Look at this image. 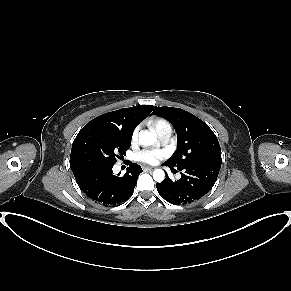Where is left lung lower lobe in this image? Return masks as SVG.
Here are the masks:
<instances>
[{
    "mask_svg": "<svg viewBox=\"0 0 291 291\" xmlns=\"http://www.w3.org/2000/svg\"><path fill=\"white\" fill-rule=\"evenodd\" d=\"M167 165L166 163H164ZM171 169L173 167L167 165ZM221 164L214 162L191 163L181 168V178L172 181L167 177L156 184L158 193L174 205L189 204L207 194L214 186Z\"/></svg>",
    "mask_w": 291,
    "mask_h": 291,
    "instance_id": "obj_1",
    "label": "left lung lower lobe"
}]
</instances>
